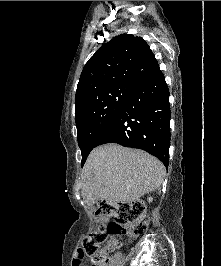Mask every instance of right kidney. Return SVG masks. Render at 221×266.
I'll list each match as a JSON object with an SVG mask.
<instances>
[{"label":"right kidney","instance_id":"ca27d5eb","mask_svg":"<svg viewBox=\"0 0 221 266\" xmlns=\"http://www.w3.org/2000/svg\"><path fill=\"white\" fill-rule=\"evenodd\" d=\"M152 201V198H149V202Z\"/></svg>","mask_w":221,"mask_h":266}]
</instances>
